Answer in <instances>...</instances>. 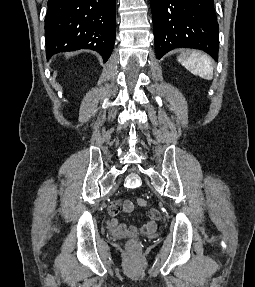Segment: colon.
<instances>
[{
    "label": "colon",
    "instance_id": "1",
    "mask_svg": "<svg viewBox=\"0 0 255 287\" xmlns=\"http://www.w3.org/2000/svg\"><path fill=\"white\" fill-rule=\"evenodd\" d=\"M137 203L140 205V206H146L147 205V202L145 199L143 198H138L137 199ZM129 246L134 248L137 246V241L135 239H132L129 241Z\"/></svg>",
    "mask_w": 255,
    "mask_h": 287
}]
</instances>
